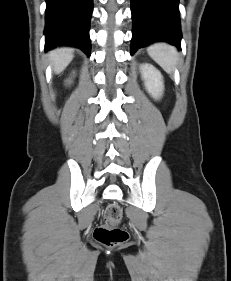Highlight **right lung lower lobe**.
<instances>
[{
    "label": "right lung lower lobe",
    "mask_w": 231,
    "mask_h": 281,
    "mask_svg": "<svg viewBox=\"0 0 231 281\" xmlns=\"http://www.w3.org/2000/svg\"><path fill=\"white\" fill-rule=\"evenodd\" d=\"M93 0H46L45 51L70 45L90 56V18Z\"/></svg>",
    "instance_id": "right-lung-lower-lobe-1"
}]
</instances>
